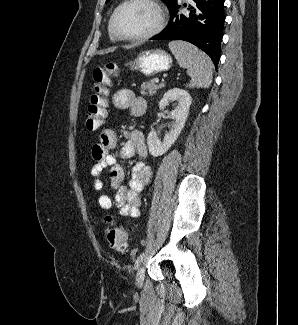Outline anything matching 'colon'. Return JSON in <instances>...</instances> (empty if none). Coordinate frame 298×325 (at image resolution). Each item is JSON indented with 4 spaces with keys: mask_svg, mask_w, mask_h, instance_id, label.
<instances>
[{
    "mask_svg": "<svg viewBox=\"0 0 298 325\" xmlns=\"http://www.w3.org/2000/svg\"><path fill=\"white\" fill-rule=\"evenodd\" d=\"M119 68L114 63H107L104 67H97L93 70L94 91L90 98L85 125L88 131L94 132L100 129L105 121L106 95L112 77L118 74ZM107 228L105 230V240L108 245L121 253L128 249V232L122 226L116 225L112 216H105Z\"/></svg>",
    "mask_w": 298,
    "mask_h": 325,
    "instance_id": "obj_1",
    "label": "colon"
}]
</instances>
